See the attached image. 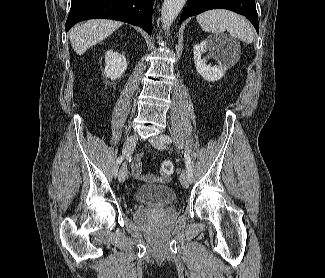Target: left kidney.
I'll use <instances>...</instances> for the list:
<instances>
[{
	"mask_svg": "<svg viewBox=\"0 0 325 278\" xmlns=\"http://www.w3.org/2000/svg\"><path fill=\"white\" fill-rule=\"evenodd\" d=\"M205 52H209L218 61V65H206V60L202 58ZM237 59L238 53L233 45L222 36L208 37L194 46L196 70L209 82L220 80L226 70L236 63Z\"/></svg>",
	"mask_w": 325,
	"mask_h": 278,
	"instance_id": "obj_1",
	"label": "left kidney"
}]
</instances>
